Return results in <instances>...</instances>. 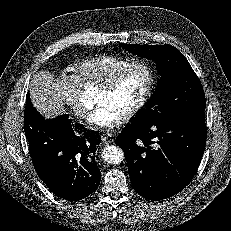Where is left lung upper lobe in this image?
<instances>
[{
    "mask_svg": "<svg viewBox=\"0 0 231 231\" xmlns=\"http://www.w3.org/2000/svg\"><path fill=\"white\" fill-rule=\"evenodd\" d=\"M138 56L157 62L161 79L153 97L131 124H160L205 111L199 78L185 56L172 45L121 44Z\"/></svg>",
    "mask_w": 231,
    "mask_h": 231,
    "instance_id": "left-lung-upper-lobe-1",
    "label": "left lung upper lobe"
}]
</instances>
